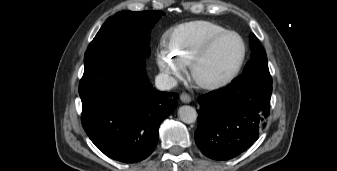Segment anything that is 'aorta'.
I'll list each match as a JSON object with an SVG mask.
<instances>
[{
	"label": "aorta",
	"instance_id": "762f6f07",
	"mask_svg": "<svg viewBox=\"0 0 337 171\" xmlns=\"http://www.w3.org/2000/svg\"><path fill=\"white\" fill-rule=\"evenodd\" d=\"M178 116L184 123L191 124L197 119V112L191 106H181L178 110Z\"/></svg>",
	"mask_w": 337,
	"mask_h": 171
}]
</instances>
